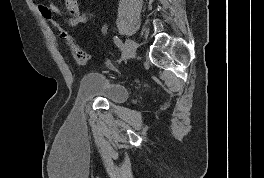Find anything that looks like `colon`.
<instances>
[{
	"label": "colon",
	"mask_w": 264,
	"mask_h": 178,
	"mask_svg": "<svg viewBox=\"0 0 264 178\" xmlns=\"http://www.w3.org/2000/svg\"><path fill=\"white\" fill-rule=\"evenodd\" d=\"M38 9L43 18L60 34L61 38L67 43L68 49L73 58L79 65H85L91 56L88 52L82 50L73 40L71 34L53 17V13L45 4H38Z\"/></svg>",
	"instance_id": "5ec220e1"
}]
</instances>
